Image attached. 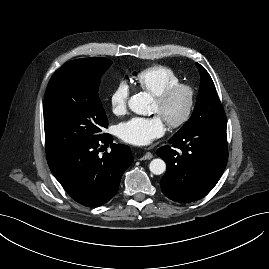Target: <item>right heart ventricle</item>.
Here are the masks:
<instances>
[{"instance_id": "right-heart-ventricle-1", "label": "right heart ventricle", "mask_w": 269, "mask_h": 269, "mask_svg": "<svg viewBox=\"0 0 269 269\" xmlns=\"http://www.w3.org/2000/svg\"><path fill=\"white\" fill-rule=\"evenodd\" d=\"M180 81V77L173 69L163 65L147 67L139 71L134 78V83L139 89L153 96Z\"/></svg>"}]
</instances>
